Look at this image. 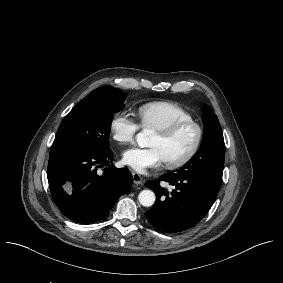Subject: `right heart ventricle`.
Masks as SVG:
<instances>
[{
    "mask_svg": "<svg viewBox=\"0 0 283 283\" xmlns=\"http://www.w3.org/2000/svg\"><path fill=\"white\" fill-rule=\"evenodd\" d=\"M135 112L143 128L163 131L180 119L193 118L179 105L168 101H153L139 105Z\"/></svg>",
    "mask_w": 283,
    "mask_h": 283,
    "instance_id": "e07e8e85",
    "label": "right heart ventricle"
}]
</instances>
